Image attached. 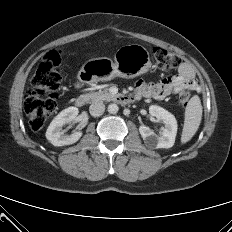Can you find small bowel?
<instances>
[{
    "label": "small bowel",
    "mask_w": 232,
    "mask_h": 232,
    "mask_svg": "<svg viewBox=\"0 0 232 232\" xmlns=\"http://www.w3.org/2000/svg\"><path fill=\"white\" fill-rule=\"evenodd\" d=\"M184 87L198 89L193 66L186 61L180 64L177 74L166 76L158 83L150 84L143 80L137 81L135 84V94L140 98L162 100L172 94L178 93Z\"/></svg>",
    "instance_id": "1"
}]
</instances>
